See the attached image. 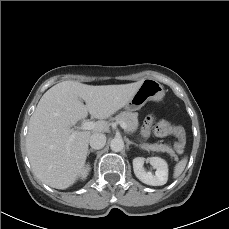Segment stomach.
Wrapping results in <instances>:
<instances>
[{
	"instance_id": "1",
	"label": "stomach",
	"mask_w": 229,
	"mask_h": 229,
	"mask_svg": "<svg viewBox=\"0 0 229 229\" xmlns=\"http://www.w3.org/2000/svg\"><path fill=\"white\" fill-rule=\"evenodd\" d=\"M165 95L163 86L154 79H145L132 99L127 103L126 109L136 111L141 109L148 101H161Z\"/></svg>"
}]
</instances>
